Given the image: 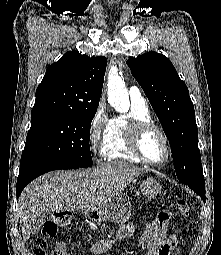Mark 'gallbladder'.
<instances>
[{"mask_svg": "<svg viewBox=\"0 0 221 255\" xmlns=\"http://www.w3.org/2000/svg\"><path fill=\"white\" fill-rule=\"evenodd\" d=\"M45 219H46V216L44 214L38 216L35 220V222L33 223V226H32V233H37L42 225L44 224L45 222Z\"/></svg>", "mask_w": 221, "mask_h": 255, "instance_id": "bac80fb5", "label": "gallbladder"}]
</instances>
